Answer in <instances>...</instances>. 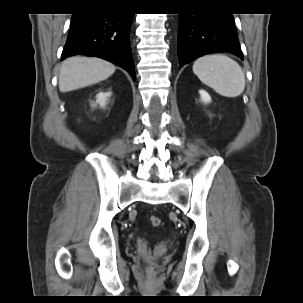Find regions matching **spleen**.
<instances>
[{
    "mask_svg": "<svg viewBox=\"0 0 303 303\" xmlns=\"http://www.w3.org/2000/svg\"><path fill=\"white\" fill-rule=\"evenodd\" d=\"M193 72L202 83L224 97H237L245 89V75L240 65L226 55L200 57L193 64Z\"/></svg>",
    "mask_w": 303,
    "mask_h": 303,
    "instance_id": "obj_1",
    "label": "spleen"
}]
</instances>
